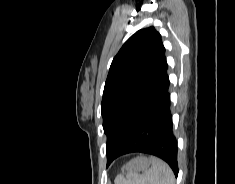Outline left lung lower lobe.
Masks as SVG:
<instances>
[{
    "label": "left lung lower lobe",
    "mask_w": 235,
    "mask_h": 184,
    "mask_svg": "<svg viewBox=\"0 0 235 184\" xmlns=\"http://www.w3.org/2000/svg\"><path fill=\"white\" fill-rule=\"evenodd\" d=\"M167 69L164 57L152 92L141 108L129 138L115 158L132 152L151 154L167 162L177 177V140L172 130Z\"/></svg>",
    "instance_id": "left-lung-lower-lobe-1"
}]
</instances>
